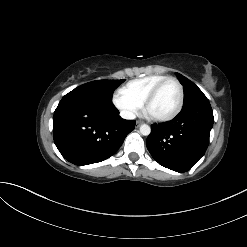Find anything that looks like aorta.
Here are the masks:
<instances>
[{"mask_svg": "<svg viewBox=\"0 0 247 247\" xmlns=\"http://www.w3.org/2000/svg\"><path fill=\"white\" fill-rule=\"evenodd\" d=\"M140 133L144 136H148L151 133V128L147 124H143L140 126Z\"/></svg>", "mask_w": 247, "mask_h": 247, "instance_id": "aorta-1", "label": "aorta"}]
</instances>
